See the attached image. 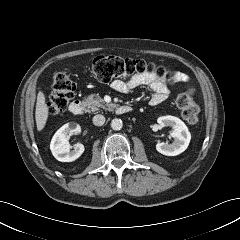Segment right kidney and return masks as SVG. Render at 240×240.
<instances>
[{
  "mask_svg": "<svg viewBox=\"0 0 240 240\" xmlns=\"http://www.w3.org/2000/svg\"><path fill=\"white\" fill-rule=\"evenodd\" d=\"M81 128L75 123H67L63 125L53 136L50 143V150L53 156L61 162H72L79 158L84 152V145L77 143L71 150L68 139L73 134L80 133Z\"/></svg>",
  "mask_w": 240,
  "mask_h": 240,
  "instance_id": "obj_1",
  "label": "right kidney"
}]
</instances>
